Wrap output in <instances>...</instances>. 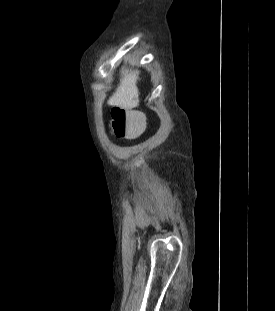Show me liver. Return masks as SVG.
<instances>
[{"instance_id": "1", "label": "liver", "mask_w": 275, "mask_h": 311, "mask_svg": "<svg viewBox=\"0 0 275 311\" xmlns=\"http://www.w3.org/2000/svg\"><path fill=\"white\" fill-rule=\"evenodd\" d=\"M138 79V70L132 71L122 68L120 83L116 91L109 98L108 104L127 111H131L133 108L137 107L139 105Z\"/></svg>"}]
</instances>
